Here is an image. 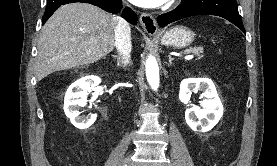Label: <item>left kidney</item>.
Masks as SVG:
<instances>
[{
  "mask_svg": "<svg viewBox=\"0 0 277 166\" xmlns=\"http://www.w3.org/2000/svg\"><path fill=\"white\" fill-rule=\"evenodd\" d=\"M202 91L205 99L202 108H188L185 111V120L188 126L196 132L210 131L223 115V105L217 94L214 83L207 78L184 79L180 84L179 99L188 104L192 92Z\"/></svg>",
  "mask_w": 277,
  "mask_h": 166,
  "instance_id": "5707ae66",
  "label": "left kidney"
}]
</instances>
